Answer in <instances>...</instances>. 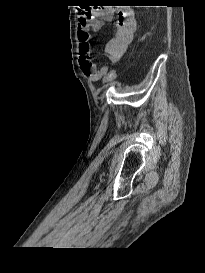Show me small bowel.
<instances>
[{"label": "small bowel", "instance_id": "small-bowel-1", "mask_svg": "<svg viewBox=\"0 0 205 273\" xmlns=\"http://www.w3.org/2000/svg\"><path fill=\"white\" fill-rule=\"evenodd\" d=\"M117 13L116 31L105 45V53L108 59L115 63L125 54L128 45L132 42L137 28V22L131 11L116 9L106 6L99 11H91L79 16L77 36L80 43L79 64L82 72L91 81H98L108 74V67L103 65L98 67L90 59L92 47L90 44V32L102 27L105 22H111Z\"/></svg>", "mask_w": 205, "mask_h": 273}]
</instances>
